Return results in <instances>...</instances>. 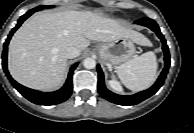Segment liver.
Here are the masks:
<instances>
[{
	"label": "liver",
	"mask_w": 194,
	"mask_h": 133,
	"mask_svg": "<svg viewBox=\"0 0 194 133\" xmlns=\"http://www.w3.org/2000/svg\"><path fill=\"white\" fill-rule=\"evenodd\" d=\"M122 37L139 45H151L141 33L100 13H37L25 21L12 37L8 68L12 77L24 86L42 91L55 90L65 81L67 47L74 46L81 53L91 40L111 42Z\"/></svg>",
	"instance_id": "1"
}]
</instances>
